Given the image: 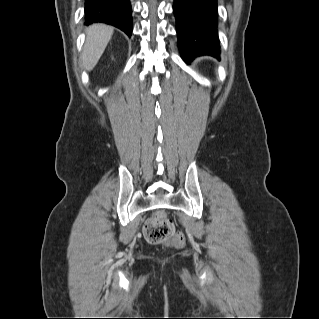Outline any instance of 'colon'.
Here are the masks:
<instances>
[{"label": "colon", "instance_id": "5ec220e1", "mask_svg": "<svg viewBox=\"0 0 319 319\" xmlns=\"http://www.w3.org/2000/svg\"><path fill=\"white\" fill-rule=\"evenodd\" d=\"M147 240L154 244L169 243L175 247L185 245V236L176 232L171 220L161 214H156L148 219L144 225Z\"/></svg>", "mask_w": 319, "mask_h": 319}]
</instances>
